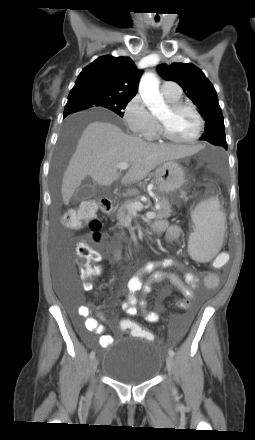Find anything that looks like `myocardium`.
<instances>
[{"label":"myocardium","mask_w":255,"mask_h":440,"mask_svg":"<svg viewBox=\"0 0 255 440\" xmlns=\"http://www.w3.org/2000/svg\"><path fill=\"white\" fill-rule=\"evenodd\" d=\"M169 108L172 112H177L182 109L191 110L195 114V116L198 120V128H197V131L194 134V136H192L191 138H188V139L181 140V139L175 138L169 132L165 122L159 120V127H160L162 137L169 142L177 143V144H190V143H194L195 141H197L201 137L203 130H204V125H205L204 119H203L202 115L200 114V112L192 104L181 102V101L170 104Z\"/></svg>","instance_id":"f54148a6"}]
</instances>
